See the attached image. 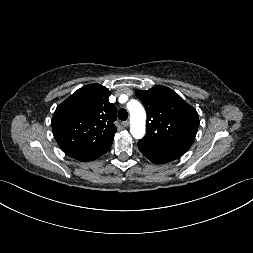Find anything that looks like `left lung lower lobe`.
<instances>
[{
  "instance_id": "1",
  "label": "left lung lower lobe",
  "mask_w": 253,
  "mask_h": 253,
  "mask_svg": "<svg viewBox=\"0 0 253 253\" xmlns=\"http://www.w3.org/2000/svg\"><path fill=\"white\" fill-rule=\"evenodd\" d=\"M138 148L146 158L157 164L173 161L183 155L182 153L176 151L148 146L140 142H138Z\"/></svg>"
}]
</instances>
